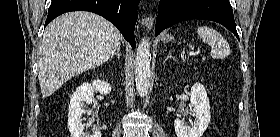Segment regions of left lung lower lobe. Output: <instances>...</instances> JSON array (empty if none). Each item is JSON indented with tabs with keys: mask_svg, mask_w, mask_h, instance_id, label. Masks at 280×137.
<instances>
[{
	"mask_svg": "<svg viewBox=\"0 0 280 137\" xmlns=\"http://www.w3.org/2000/svg\"><path fill=\"white\" fill-rule=\"evenodd\" d=\"M190 19L218 22L239 39L229 0H162L155 35L178 22Z\"/></svg>",
	"mask_w": 280,
	"mask_h": 137,
	"instance_id": "left-lung-lower-lobe-1",
	"label": "left lung lower lobe"
}]
</instances>
